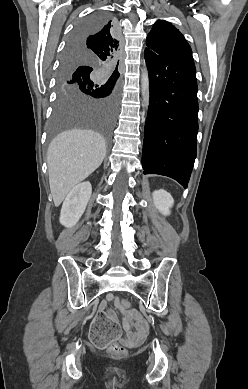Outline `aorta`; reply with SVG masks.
I'll return each instance as SVG.
<instances>
[{
  "label": "aorta",
  "mask_w": 248,
  "mask_h": 389,
  "mask_svg": "<svg viewBox=\"0 0 248 389\" xmlns=\"http://www.w3.org/2000/svg\"><path fill=\"white\" fill-rule=\"evenodd\" d=\"M141 88H142V97H143L144 105L146 108H148V105H149V77H148V72L146 69H144L142 71Z\"/></svg>",
  "instance_id": "1"
}]
</instances>
